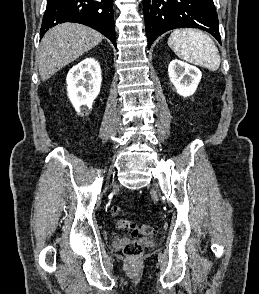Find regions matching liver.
<instances>
[{
  "mask_svg": "<svg viewBox=\"0 0 259 294\" xmlns=\"http://www.w3.org/2000/svg\"><path fill=\"white\" fill-rule=\"evenodd\" d=\"M103 38L98 31L77 23H63L50 29L38 54L42 81L97 46Z\"/></svg>",
  "mask_w": 259,
  "mask_h": 294,
  "instance_id": "obj_1",
  "label": "liver"
}]
</instances>
